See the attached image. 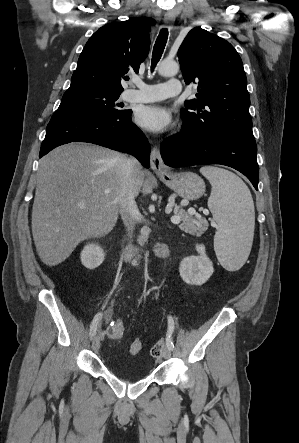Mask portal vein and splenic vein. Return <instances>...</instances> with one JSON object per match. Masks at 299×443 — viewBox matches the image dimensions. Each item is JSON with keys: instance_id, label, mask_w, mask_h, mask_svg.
Listing matches in <instances>:
<instances>
[{"instance_id": "portal-vein-and-splenic-vein-1", "label": "portal vein and splenic vein", "mask_w": 299, "mask_h": 443, "mask_svg": "<svg viewBox=\"0 0 299 443\" xmlns=\"http://www.w3.org/2000/svg\"><path fill=\"white\" fill-rule=\"evenodd\" d=\"M79 207L84 208L85 206L83 204H79ZM171 211H172V208H170V207L166 208V213H170ZM189 211H190V214H196L195 210H193V209H191ZM171 221L174 224H179L181 220H180L179 216L175 215L171 218Z\"/></svg>"}]
</instances>
